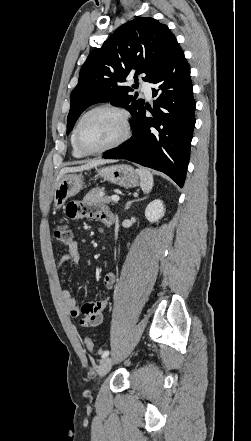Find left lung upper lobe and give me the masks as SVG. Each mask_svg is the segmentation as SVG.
<instances>
[{"label":"left lung upper lobe","mask_w":251,"mask_h":441,"mask_svg":"<svg viewBox=\"0 0 251 441\" xmlns=\"http://www.w3.org/2000/svg\"><path fill=\"white\" fill-rule=\"evenodd\" d=\"M178 44L170 29L153 18H136L122 25L101 48L93 50L83 64L77 86L71 93V106L67 117V134L80 114L90 105L111 102L126 108L132 115L144 105L129 93L126 78L150 81L163 67Z\"/></svg>","instance_id":"1"}]
</instances>
